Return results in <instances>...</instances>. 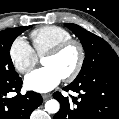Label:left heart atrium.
<instances>
[{"label":"left heart atrium","instance_id":"obj_1","mask_svg":"<svg viewBox=\"0 0 119 119\" xmlns=\"http://www.w3.org/2000/svg\"><path fill=\"white\" fill-rule=\"evenodd\" d=\"M62 78L54 68L43 67L28 74L24 83L29 90L46 93L58 86Z\"/></svg>","mask_w":119,"mask_h":119}]
</instances>
